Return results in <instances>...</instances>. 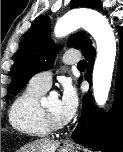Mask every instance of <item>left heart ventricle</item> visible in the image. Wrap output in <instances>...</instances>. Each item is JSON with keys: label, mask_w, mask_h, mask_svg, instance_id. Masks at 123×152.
<instances>
[{"label": "left heart ventricle", "mask_w": 123, "mask_h": 152, "mask_svg": "<svg viewBox=\"0 0 123 152\" xmlns=\"http://www.w3.org/2000/svg\"><path fill=\"white\" fill-rule=\"evenodd\" d=\"M45 108L49 111V113L51 115H53L54 117L62 120L61 116H60V103H59V99L57 98H49Z\"/></svg>", "instance_id": "b2bd125f"}]
</instances>
